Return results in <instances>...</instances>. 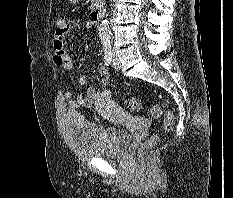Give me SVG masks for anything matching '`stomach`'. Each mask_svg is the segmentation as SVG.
I'll use <instances>...</instances> for the list:
<instances>
[{
    "label": "stomach",
    "mask_w": 233,
    "mask_h": 198,
    "mask_svg": "<svg viewBox=\"0 0 233 198\" xmlns=\"http://www.w3.org/2000/svg\"><path fill=\"white\" fill-rule=\"evenodd\" d=\"M80 0H69V2L71 3V4H76V3H78Z\"/></svg>",
    "instance_id": "stomach-1"
}]
</instances>
